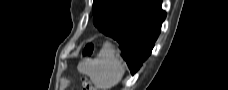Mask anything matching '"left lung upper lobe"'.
Returning a JSON list of instances; mask_svg holds the SVG:
<instances>
[{"label": "left lung upper lobe", "instance_id": "left-lung-upper-lobe-1", "mask_svg": "<svg viewBox=\"0 0 228 90\" xmlns=\"http://www.w3.org/2000/svg\"><path fill=\"white\" fill-rule=\"evenodd\" d=\"M133 0H94L93 21L101 31H105L121 17L125 11L132 9Z\"/></svg>", "mask_w": 228, "mask_h": 90}]
</instances>
